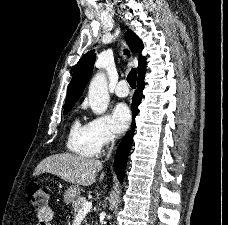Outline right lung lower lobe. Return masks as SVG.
Here are the masks:
<instances>
[{
  "label": "right lung lower lobe",
  "instance_id": "98d812e1",
  "mask_svg": "<svg viewBox=\"0 0 228 225\" xmlns=\"http://www.w3.org/2000/svg\"><path fill=\"white\" fill-rule=\"evenodd\" d=\"M144 77H145V65L138 70L137 90L135 91L132 99L133 121L131 125V131H129L122 139L121 143L117 148L116 155H115L114 170L120 182H122L124 177L126 162H127L128 154L132 144L133 133L135 128V116L139 112L138 106L141 102L142 95H143L142 91L145 85Z\"/></svg>",
  "mask_w": 228,
  "mask_h": 225
}]
</instances>
